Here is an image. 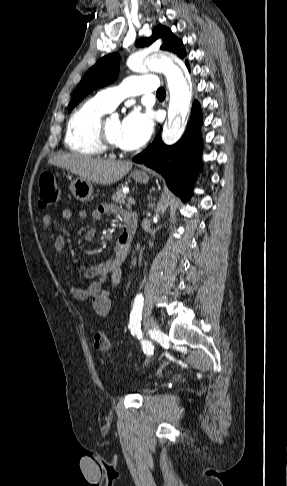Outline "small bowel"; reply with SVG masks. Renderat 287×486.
<instances>
[{
	"instance_id": "small-bowel-1",
	"label": "small bowel",
	"mask_w": 287,
	"mask_h": 486,
	"mask_svg": "<svg viewBox=\"0 0 287 486\" xmlns=\"http://www.w3.org/2000/svg\"><path fill=\"white\" fill-rule=\"evenodd\" d=\"M122 214L124 217L128 213L122 212L116 205L103 203L92 212L94 220H100L105 215ZM62 218L64 220H84L87 217L85 210L72 211L65 209L62 211ZM44 227L51 228L54 223L52 215L46 214L42 218ZM95 229H89L84 233V239L87 241L95 237ZM66 237L62 234L58 235L54 240V249L58 254H63L66 247ZM129 252V247L120 249L116 245L113 255L104 262L96 265L86 267L82 271V278L89 280L87 287H80L74 285L69 278L66 279V285L71 295L77 300L92 299L93 307L96 313L102 317L109 315L111 311V295L115 287L119 284L121 279V267L126 260ZM109 281V285L107 282Z\"/></svg>"
}]
</instances>
